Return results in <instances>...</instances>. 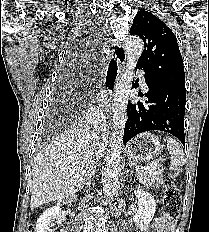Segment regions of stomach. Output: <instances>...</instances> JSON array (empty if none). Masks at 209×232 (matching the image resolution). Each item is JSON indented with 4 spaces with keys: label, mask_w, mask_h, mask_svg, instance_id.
I'll use <instances>...</instances> for the list:
<instances>
[{
    "label": "stomach",
    "mask_w": 209,
    "mask_h": 232,
    "mask_svg": "<svg viewBox=\"0 0 209 232\" xmlns=\"http://www.w3.org/2000/svg\"><path fill=\"white\" fill-rule=\"evenodd\" d=\"M162 150L159 138L151 133H142L132 139L125 151L129 159L134 161H149L156 158Z\"/></svg>",
    "instance_id": "stomach-1"
}]
</instances>
